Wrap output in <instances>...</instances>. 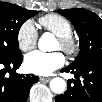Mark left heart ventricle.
<instances>
[{
    "label": "left heart ventricle",
    "instance_id": "left-heart-ventricle-1",
    "mask_svg": "<svg viewBox=\"0 0 102 102\" xmlns=\"http://www.w3.org/2000/svg\"><path fill=\"white\" fill-rule=\"evenodd\" d=\"M55 49L56 50L59 49V43L58 42H56Z\"/></svg>",
    "mask_w": 102,
    "mask_h": 102
}]
</instances>
